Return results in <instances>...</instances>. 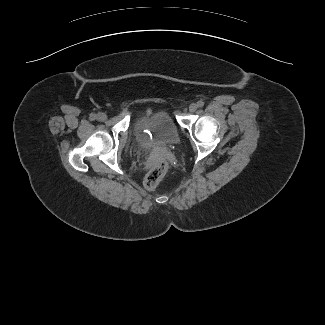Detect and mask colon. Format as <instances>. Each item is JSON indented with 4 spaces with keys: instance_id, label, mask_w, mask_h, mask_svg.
Returning <instances> with one entry per match:
<instances>
[{
    "instance_id": "5ec220e1",
    "label": "colon",
    "mask_w": 325,
    "mask_h": 325,
    "mask_svg": "<svg viewBox=\"0 0 325 325\" xmlns=\"http://www.w3.org/2000/svg\"><path fill=\"white\" fill-rule=\"evenodd\" d=\"M168 163L164 160L158 161L147 173L144 179V186L148 190H154L158 187L160 181L168 172Z\"/></svg>"
}]
</instances>
